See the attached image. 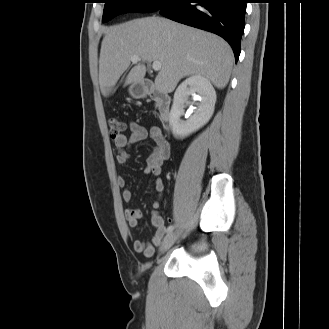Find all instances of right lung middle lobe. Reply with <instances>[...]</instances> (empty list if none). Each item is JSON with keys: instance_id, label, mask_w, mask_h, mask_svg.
Masks as SVG:
<instances>
[{"instance_id": "dd1d6c3e", "label": "right lung middle lobe", "mask_w": 329, "mask_h": 329, "mask_svg": "<svg viewBox=\"0 0 329 329\" xmlns=\"http://www.w3.org/2000/svg\"><path fill=\"white\" fill-rule=\"evenodd\" d=\"M171 0H104L105 7L102 22H108L113 17L129 13H149L163 8Z\"/></svg>"}]
</instances>
